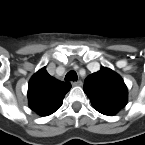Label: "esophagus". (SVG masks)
I'll return each instance as SVG.
<instances>
[{"instance_id":"34e87169","label":"esophagus","mask_w":145,"mask_h":145,"mask_svg":"<svg viewBox=\"0 0 145 145\" xmlns=\"http://www.w3.org/2000/svg\"><path fill=\"white\" fill-rule=\"evenodd\" d=\"M71 83H72L73 86H82V85H83V83H82L81 80H78V81H72Z\"/></svg>"}]
</instances>
